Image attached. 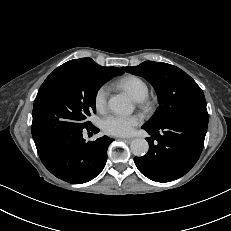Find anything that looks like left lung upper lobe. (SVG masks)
<instances>
[{
    "label": "left lung upper lobe",
    "instance_id": "1",
    "mask_svg": "<svg viewBox=\"0 0 231 231\" xmlns=\"http://www.w3.org/2000/svg\"><path fill=\"white\" fill-rule=\"evenodd\" d=\"M123 70L145 78L156 90L159 107L144 124L146 126H159L187 112L207 111L202 89L176 66L145 61L138 66L123 67Z\"/></svg>",
    "mask_w": 231,
    "mask_h": 231
}]
</instances>
